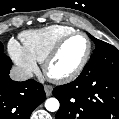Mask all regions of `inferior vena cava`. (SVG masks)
<instances>
[{"mask_svg":"<svg viewBox=\"0 0 119 119\" xmlns=\"http://www.w3.org/2000/svg\"><path fill=\"white\" fill-rule=\"evenodd\" d=\"M10 77L15 81H25L33 77V73L19 67H12L10 70Z\"/></svg>","mask_w":119,"mask_h":119,"instance_id":"602c4592","label":"inferior vena cava"}]
</instances>
